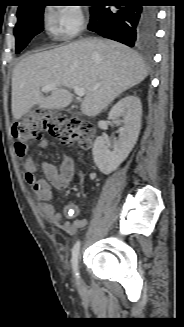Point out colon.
Returning <instances> with one entry per match:
<instances>
[{"label": "colon", "instance_id": "5ec220e1", "mask_svg": "<svg viewBox=\"0 0 184 327\" xmlns=\"http://www.w3.org/2000/svg\"><path fill=\"white\" fill-rule=\"evenodd\" d=\"M43 131L49 132L64 145L88 148L95 134V127L89 121L68 117L61 112L39 110L28 113L12 125L18 157H26L31 141L39 139Z\"/></svg>", "mask_w": 184, "mask_h": 327}]
</instances>
